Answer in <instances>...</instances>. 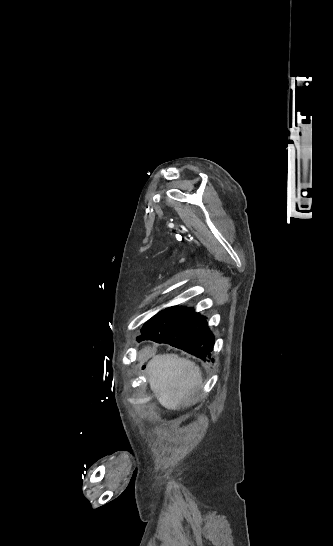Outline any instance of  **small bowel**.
I'll use <instances>...</instances> for the list:
<instances>
[{
    "label": "small bowel",
    "instance_id": "small-bowel-1",
    "mask_svg": "<svg viewBox=\"0 0 333 546\" xmlns=\"http://www.w3.org/2000/svg\"><path fill=\"white\" fill-rule=\"evenodd\" d=\"M143 354L139 355V360L141 361H149L151 359V355L155 354V347L154 346H144L143 347Z\"/></svg>",
    "mask_w": 333,
    "mask_h": 546
}]
</instances>
